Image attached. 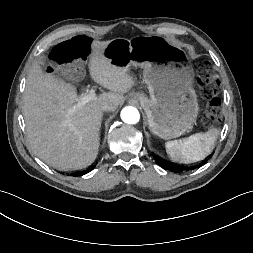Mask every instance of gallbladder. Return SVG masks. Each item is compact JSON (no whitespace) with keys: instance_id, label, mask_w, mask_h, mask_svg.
<instances>
[{"instance_id":"obj_1","label":"gallbladder","mask_w":253,"mask_h":253,"mask_svg":"<svg viewBox=\"0 0 253 253\" xmlns=\"http://www.w3.org/2000/svg\"><path fill=\"white\" fill-rule=\"evenodd\" d=\"M43 61H44V60L41 58V59H40V62H43Z\"/></svg>"}]
</instances>
